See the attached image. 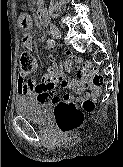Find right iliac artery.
Masks as SVG:
<instances>
[{"instance_id":"right-iliac-artery-1","label":"right iliac artery","mask_w":123,"mask_h":167,"mask_svg":"<svg viewBox=\"0 0 123 167\" xmlns=\"http://www.w3.org/2000/svg\"><path fill=\"white\" fill-rule=\"evenodd\" d=\"M47 46L49 48H54L55 47V41L53 39H48L47 40Z\"/></svg>"}]
</instances>
